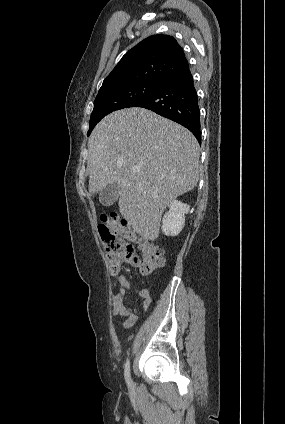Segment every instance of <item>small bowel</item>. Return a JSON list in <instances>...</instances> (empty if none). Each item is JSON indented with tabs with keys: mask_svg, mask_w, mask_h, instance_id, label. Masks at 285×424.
Listing matches in <instances>:
<instances>
[{
	"mask_svg": "<svg viewBox=\"0 0 285 424\" xmlns=\"http://www.w3.org/2000/svg\"><path fill=\"white\" fill-rule=\"evenodd\" d=\"M116 290L113 294V313L124 317L123 328H131L136 320L137 315L134 310L126 304V295L130 289V283L125 275H120L114 285ZM136 294L141 299V306L144 311L148 310L151 305V297L145 288L136 290Z\"/></svg>",
	"mask_w": 285,
	"mask_h": 424,
	"instance_id": "1",
	"label": "small bowel"
}]
</instances>
